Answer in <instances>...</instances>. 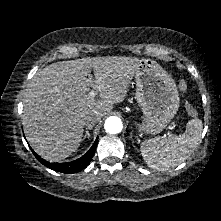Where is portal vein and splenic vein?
I'll return each mask as SVG.
<instances>
[{"label": "portal vein and splenic vein", "instance_id": "1", "mask_svg": "<svg viewBox=\"0 0 221 221\" xmlns=\"http://www.w3.org/2000/svg\"><path fill=\"white\" fill-rule=\"evenodd\" d=\"M89 98H94L96 96V91L95 90H91L88 94ZM169 136H173L172 134H169Z\"/></svg>", "mask_w": 221, "mask_h": 221}]
</instances>
